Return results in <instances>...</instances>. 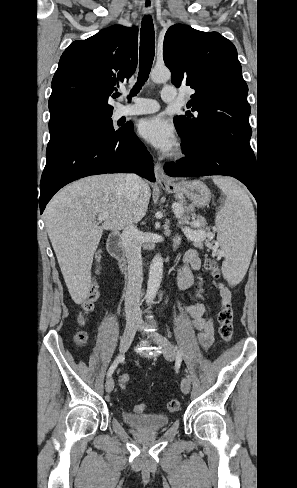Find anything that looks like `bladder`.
I'll use <instances>...</instances> for the list:
<instances>
[{"instance_id":"1","label":"bladder","mask_w":297,"mask_h":488,"mask_svg":"<svg viewBox=\"0 0 297 488\" xmlns=\"http://www.w3.org/2000/svg\"><path fill=\"white\" fill-rule=\"evenodd\" d=\"M122 419L129 427L146 432L163 429L170 422L167 415L158 413L134 414L123 412Z\"/></svg>"}]
</instances>
